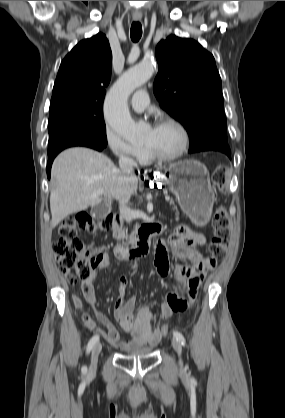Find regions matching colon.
I'll return each instance as SVG.
<instances>
[{
    "label": "colon",
    "mask_w": 285,
    "mask_h": 418,
    "mask_svg": "<svg viewBox=\"0 0 285 418\" xmlns=\"http://www.w3.org/2000/svg\"><path fill=\"white\" fill-rule=\"evenodd\" d=\"M213 185L221 190L225 189V173L221 166H218L212 173ZM114 226V218L108 216L103 218L97 225L86 212H77L69 219L63 220L58 235L54 239L53 249L57 264L61 272L68 276L73 270L77 277L86 279L90 276L92 269L101 262L100 257L88 258L85 244L79 239L81 232L94 233L97 230H110ZM181 228L178 232H185ZM229 236V217L223 207L216 209L212 222V238L209 249L213 255L206 263V268L212 270L216 266L215 258L222 257L228 249ZM155 260L163 261L167 258V249L163 242L159 241L155 245ZM70 284L74 285L75 280ZM190 306V304H189ZM158 335L164 336L168 332L166 325L159 327Z\"/></svg>",
    "instance_id": "obj_1"
}]
</instances>
